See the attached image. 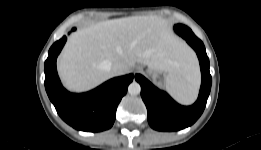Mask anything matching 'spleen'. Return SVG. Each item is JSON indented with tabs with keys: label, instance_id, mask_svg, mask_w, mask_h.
Masks as SVG:
<instances>
[{
	"label": "spleen",
	"instance_id": "spleen-1",
	"mask_svg": "<svg viewBox=\"0 0 261 150\" xmlns=\"http://www.w3.org/2000/svg\"><path fill=\"white\" fill-rule=\"evenodd\" d=\"M199 83V72L195 63L187 66L180 75H169L166 88L178 102L189 105L197 97Z\"/></svg>",
	"mask_w": 261,
	"mask_h": 150
}]
</instances>
